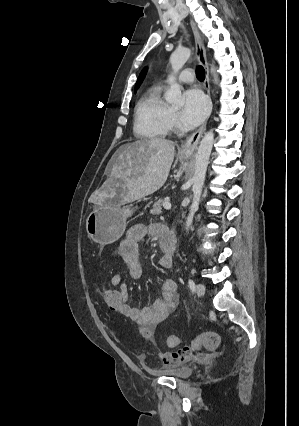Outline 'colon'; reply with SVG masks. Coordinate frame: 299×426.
<instances>
[{"mask_svg": "<svg viewBox=\"0 0 299 426\" xmlns=\"http://www.w3.org/2000/svg\"><path fill=\"white\" fill-rule=\"evenodd\" d=\"M101 300L104 304L112 311L119 312L123 297L119 289L116 288H104L100 291ZM166 343L169 347H177L181 343V339L178 335H170ZM220 345V337L214 332H205L192 340L191 347H185L182 349L183 352L198 351L201 348L216 349Z\"/></svg>", "mask_w": 299, "mask_h": 426, "instance_id": "1", "label": "colon"}]
</instances>
